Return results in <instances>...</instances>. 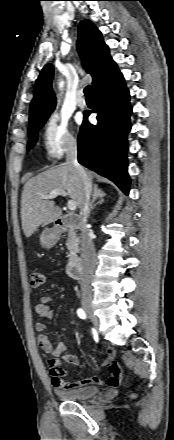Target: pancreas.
Here are the masks:
<instances>
[{"instance_id":"obj_1","label":"pancreas","mask_w":174,"mask_h":440,"mask_svg":"<svg viewBox=\"0 0 174 440\" xmlns=\"http://www.w3.org/2000/svg\"><path fill=\"white\" fill-rule=\"evenodd\" d=\"M78 244H79V238L77 234L73 230H70L66 242V246L69 250L70 258H75L77 256V253L79 251Z\"/></svg>"}]
</instances>
